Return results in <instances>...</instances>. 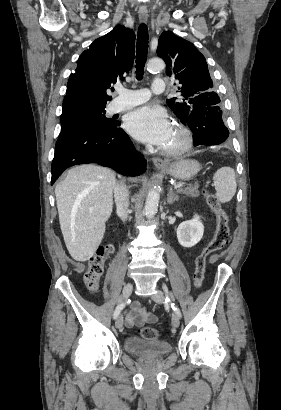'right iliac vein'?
Here are the masks:
<instances>
[{
  "label": "right iliac vein",
  "mask_w": 281,
  "mask_h": 410,
  "mask_svg": "<svg viewBox=\"0 0 281 410\" xmlns=\"http://www.w3.org/2000/svg\"><path fill=\"white\" fill-rule=\"evenodd\" d=\"M133 290V284L132 283H127L124 288H123V292H122V299L125 300L127 299ZM115 326L117 329L121 330L123 327V316L122 315H118L116 320H115Z\"/></svg>",
  "instance_id": "1"
}]
</instances>
